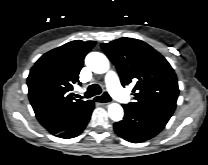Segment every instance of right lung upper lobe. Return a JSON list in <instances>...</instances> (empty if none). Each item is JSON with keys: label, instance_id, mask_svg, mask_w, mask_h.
<instances>
[{"label": "right lung upper lobe", "instance_id": "cb5924a9", "mask_svg": "<svg viewBox=\"0 0 208 165\" xmlns=\"http://www.w3.org/2000/svg\"><path fill=\"white\" fill-rule=\"evenodd\" d=\"M95 41L68 42L41 56L27 78L28 95L35 115L51 134L74 126L93 101L74 99L68 91L79 83L84 57Z\"/></svg>", "mask_w": 208, "mask_h": 165}]
</instances>
